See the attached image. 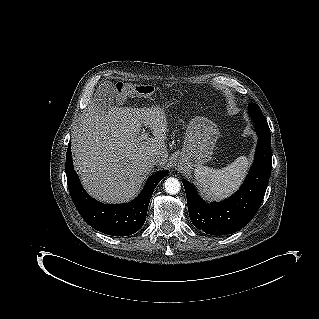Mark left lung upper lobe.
<instances>
[{
    "label": "left lung upper lobe",
    "instance_id": "5c2ea615",
    "mask_svg": "<svg viewBox=\"0 0 319 319\" xmlns=\"http://www.w3.org/2000/svg\"><path fill=\"white\" fill-rule=\"evenodd\" d=\"M249 112H250V115L252 116L253 120L255 121V123H260V124L267 123L260 107L257 104L251 103L249 105Z\"/></svg>",
    "mask_w": 319,
    "mask_h": 319
}]
</instances>
